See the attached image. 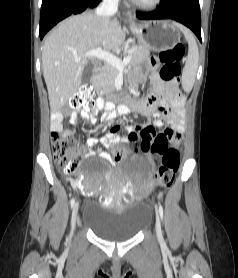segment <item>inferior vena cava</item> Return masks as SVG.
<instances>
[{
	"instance_id": "obj_1",
	"label": "inferior vena cava",
	"mask_w": 238,
	"mask_h": 278,
	"mask_svg": "<svg viewBox=\"0 0 238 278\" xmlns=\"http://www.w3.org/2000/svg\"><path fill=\"white\" fill-rule=\"evenodd\" d=\"M119 0H103L96 10V14L101 17L113 15L118 10Z\"/></svg>"
}]
</instances>
